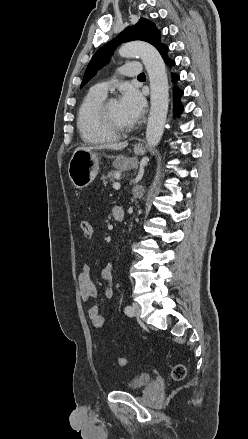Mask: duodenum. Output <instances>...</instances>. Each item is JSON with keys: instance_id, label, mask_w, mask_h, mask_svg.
Instances as JSON below:
<instances>
[{"instance_id": "obj_1", "label": "duodenum", "mask_w": 248, "mask_h": 439, "mask_svg": "<svg viewBox=\"0 0 248 439\" xmlns=\"http://www.w3.org/2000/svg\"><path fill=\"white\" fill-rule=\"evenodd\" d=\"M112 214H113V218L117 221V222H121L123 221L124 217H125V212L124 209L120 206H115L112 210Z\"/></svg>"}]
</instances>
